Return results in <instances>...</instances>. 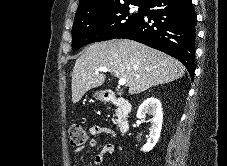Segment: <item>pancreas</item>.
<instances>
[{"label":"pancreas","instance_id":"cf45deb5","mask_svg":"<svg viewBox=\"0 0 227 166\" xmlns=\"http://www.w3.org/2000/svg\"><path fill=\"white\" fill-rule=\"evenodd\" d=\"M114 123H115V124H117V123H118V121H117V120H114Z\"/></svg>","mask_w":227,"mask_h":166}]
</instances>
